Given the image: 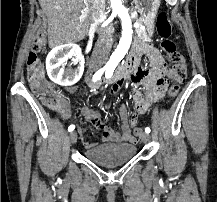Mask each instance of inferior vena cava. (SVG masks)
<instances>
[{
    "label": "inferior vena cava",
    "instance_id": "1",
    "mask_svg": "<svg viewBox=\"0 0 217 202\" xmlns=\"http://www.w3.org/2000/svg\"><path fill=\"white\" fill-rule=\"evenodd\" d=\"M91 22L100 26L103 20H106L105 0H90ZM99 38L94 48L93 56L95 58H107L112 46V32L108 28H101L98 32Z\"/></svg>",
    "mask_w": 217,
    "mask_h": 202
}]
</instances>
